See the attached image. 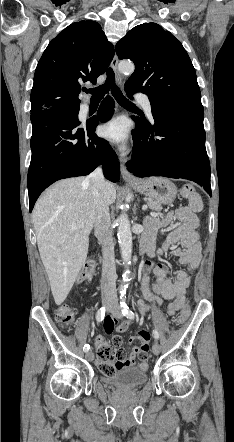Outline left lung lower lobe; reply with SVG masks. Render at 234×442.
I'll list each match as a JSON object with an SVG mask.
<instances>
[{"label":"left lung lower lobe","instance_id":"1","mask_svg":"<svg viewBox=\"0 0 234 442\" xmlns=\"http://www.w3.org/2000/svg\"><path fill=\"white\" fill-rule=\"evenodd\" d=\"M131 98L137 91L125 88ZM155 124L133 119L132 160L137 177L165 176L192 180L211 195L210 163L205 148L204 110L200 101H175L152 106Z\"/></svg>","mask_w":234,"mask_h":442}]
</instances>
